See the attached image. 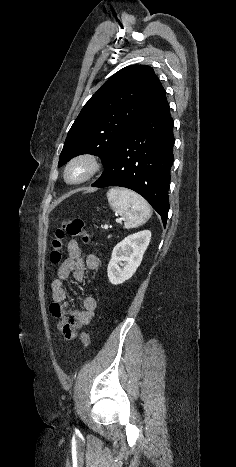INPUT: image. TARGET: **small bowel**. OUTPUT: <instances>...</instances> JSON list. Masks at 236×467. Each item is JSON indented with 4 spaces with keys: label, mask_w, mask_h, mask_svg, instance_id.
Wrapping results in <instances>:
<instances>
[{
    "label": "small bowel",
    "mask_w": 236,
    "mask_h": 467,
    "mask_svg": "<svg viewBox=\"0 0 236 467\" xmlns=\"http://www.w3.org/2000/svg\"><path fill=\"white\" fill-rule=\"evenodd\" d=\"M69 257L60 265L55 279L52 281V303L50 313L56 319V328L64 339L71 341L78 335V330L91 323L96 310V301L92 297L83 299L82 309L74 308L67 300L64 283L72 275L75 281L81 282L85 278V271H95L100 266L99 258L90 254L85 261L81 258V251L76 242L68 245Z\"/></svg>",
    "instance_id": "obj_1"
}]
</instances>
